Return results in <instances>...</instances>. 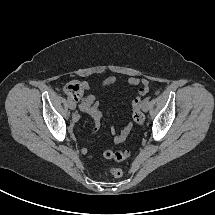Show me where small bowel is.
<instances>
[{"mask_svg":"<svg viewBox=\"0 0 215 215\" xmlns=\"http://www.w3.org/2000/svg\"><path fill=\"white\" fill-rule=\"evenodd\" d=\"M116 82L115 77H107L103 80L102 85L103 86H111ZM128 84L131 86H137L139 84H142L143 87L149 88V80L142 78L139 79L137 77H130L128 79ZM83 85V91H87L90 89V85L87 82H82ZM78 101V107L82 112H85L89 114L93 121H94V127L91 131V134H95L100 126V121L102 119V112L99 101L95 98L93 95H87V96H81L77 99ZM79 120V115L75 114L73 116V122H77ZM132 128V125L129 123L127 124L119 134L114 136V142L115 143H121L123 142L128 134L130 133ZM73 129V128H72ZM82 152H86V149H83Z\"/></svg>","mask_w":215,"mask_h":215,"instance_id":"obj_1","label":"small bowel"}]
</instances>
